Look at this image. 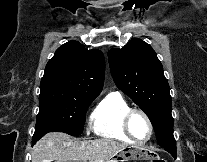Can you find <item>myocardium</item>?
Returning a JSON list of instances; mask_svg holds the SVG:
<instances>
[{"instance_id": "f54148a6", "label": "myocardium", "mask_w": 207, "mask_h": 162, "mask_svg": "<svg viewBox=\"0 0 207 162\" xmlns=\"http://www.w3.org/2000/svg\"><path fill=\"white\" fill-rule=\"evenodd\" d=\"M141 115L147 122V125H148V128H149V134L147 136L146 139H143V140H138L136 139L131 130H130V122H131V119L133 118V116L135 115ZM122 129L124 131V133L126 134V136L132 140L133 142H136V143H146L148 142L151 138H152V135H153V124H152V121L150 119V117L141 109H130L124 116L123 118V122H122Z\"/></svg>"}]
</instances>
